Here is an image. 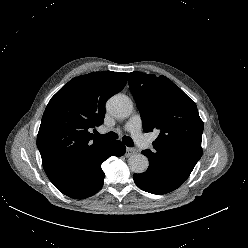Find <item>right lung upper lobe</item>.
Here are the masks:
<instances>
[{
    "label": "right lung upper lobe",
    "mask_w": 248,
    "mask_h": 248,
    "mask_svg": "<svg viewBox=\"0 0 248 248\" xmlns=\"http://www.w3.org/2000/svg\"><path fill=\"white\" fill-rule=\"evenodd\" d=\"M128 73L102 71L73 78L49 101L37 136L43 168L54 184L81 160L99 153L110 141L94 137L103 123L105 103L126 84Z\"/></svg>",
    "instance_id": "obj_1"
}]
</instances>
